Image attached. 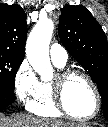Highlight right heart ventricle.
Listing matches in <instances>:
<instances>
[{"mask_svg":"<svg viewBox=\"0 0 108 127\" xmlns=\"http://www.w3.org/2000/svg\"><path fill=\"white\" fill-rule=\"evenodd\" d=\"M54 65L63 69L65 65ZM28 109L35 115L42 117H61L63 113L58 110L54 102L53 87L50 81H41L37 95L28 105Z\"/></svg>","mask_w":108,"mask_h":127,"instance_id":"right-heart-ventricle-1","label":"right heart ventricle"}]
</instances>
